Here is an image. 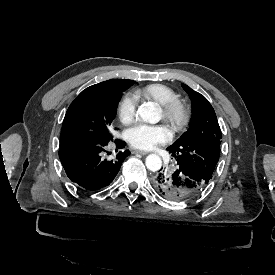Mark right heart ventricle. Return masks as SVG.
I'll return each instance as SVG.
<instances>
[{"label": "right heart ventricle", "mask_w": 275, "mask_h": 275, "mask_svg": "<svg viewBox=\"0 0 275 275\" xmlns=\"http://www.w3.org/2000/svg\"><path fill=\"white\" fill-rule=\"evenodd\" d=\"M138 98L150 99L158 104L166 103L176 98V93L167 85L162 83H149L135 90Z\"/></svg>", "instance_id": "right-heart-ventricle-1"}]
</instances>
